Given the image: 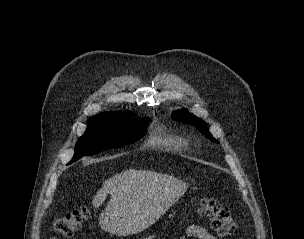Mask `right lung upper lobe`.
<instances>
[{
    "instance_id": "obj_1",
    "label": "right lung upper lobe",
    "mask_w": 304,
    "mask_h": 239,
    "mask_svg": "<svg viewBox=\"0 0 304 239\" xmlns=\"http://www.w3.org/2000/svg\"><path fill=\"white\" fill-rule=\"evenodd\" d=\"M129 111H112V112H105V113H101L99 115H96L94 117H101V118H112V117H120L125 115L126 113H128ZM91 117V118H94Z\"/></svg>"
}]
</instances>
